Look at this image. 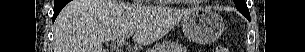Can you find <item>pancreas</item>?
Masks as SVG:
<instances>
[{
    "mask_svg": "<svg viewBox=\"0 0 305 52\" xmlns=\"http://www.w3.org/2000/svg\"><path fill=\"white\" fill-rule=\"evenodd\" d=\"M183 49L182 45L176 42H166L156 47L154 52H181Z\"/></svg>",
    "mask_w": 305,
    "mask_h": 52,
    "instance_id": "pancreas-1",
    "label": "pancreas"
}]
</instances>
